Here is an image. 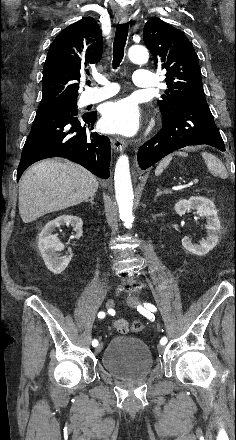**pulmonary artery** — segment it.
I'll use <instances>...</instances> for the list:
<instances>
[{
	"label": "pulmonary artery",
	"instance_id": "obj_1",
	"mask_svg": "<svg viewBox=\"0 0 236 440\" xmlns=\"http://www.w3.org/2000/svg\"><path fill=\"white\" fill-rule=\"evenodd\" d=\"M133 81L138 88H151L155 86V76L147 69L138 68L133 75ZM102 87L99 89H90L83 94V103L91 104L102 101L113 96L117 92V87L107 79L101 80Z\"/></svg>",
	"mask_w": 236,
	"mask_h": 440
}]
</instances>
